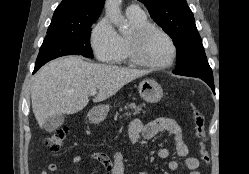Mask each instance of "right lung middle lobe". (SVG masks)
<instances>
[{"label":"right lung middle lobe","instance_id":"1","mask_svg":"<svg viewBox=\"0 0 249 174\" xmlns=\"http://www.w3.org/2000/svg\"><path fill=\"white\" fill-rule=\"evenodd\" d=\"M95 22L96 20L71 28L48 30L35 66H42L52 59L65 55L93 58L90 35L91 25Z\"/></svg>","mask_w":249,"mask_h":174}]
</instances>
